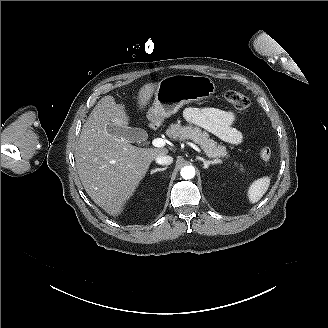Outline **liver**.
Returning a JSON list of instances; mask_svg holds the SVG:
<instances>
[{
    "mask_svg": "<svg viewBox=\"0 0 328 328\" xmlns=\"http://www.w3.org/2000/svg\"><path fill=\"white\" fill-rule=\"evenodd\" d=\"M157 87L156 83H148L138 90L139 114L147 111ZM131 123L125 101L118 102L113 95L103 97L83 125L75 152L78 174L85 191L113 218L124 214L152 161L169 154L168 148H139L106 131L107 125L128 127Z\"/></svg>",
    "mask_w": 328,
    "mask_h": 328,
    "instance_id": "1",
    "label": "liver"
}]
</instances>
